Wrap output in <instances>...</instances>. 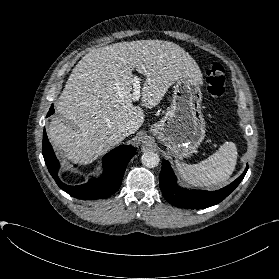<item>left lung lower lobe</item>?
Returning a JSON list of instances; mask_svg holds the SVG:
<instances>
[{
	"label": "left lung lower lobe",
	"mask_w": 279,
	"mask_h": 279,
	"mask_svg": "<svg viewBox=\"0 0 279 279\" xmlns=\"http://www.w3.org/2000/svg\"><path fill=\"white\" fill-rule=\"evenodd\" d=\"M245 171L231 184L217 191L187 190L179 187L168 161H162L160 188L164 198L173 206L185 209H202L213 206L224 200L242 181Z\"/></svg>",
	"instance_id": "left-lung-lower-lobe-1"
}]
</instances>
